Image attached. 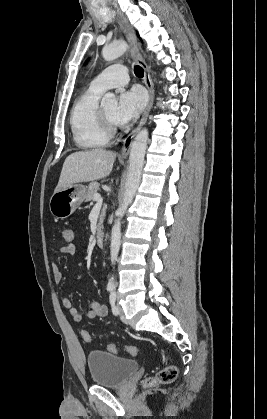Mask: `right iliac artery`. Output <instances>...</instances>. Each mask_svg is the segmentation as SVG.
Listing matches in <instances>:
<instances>
[{
  "label": "right iliac artery",
  "instance_id": "right-iliac-artery-1",
  "mask_svg": "<svg viewBox=\"0 0 267 419\" xmlns=\"http://www.w3.org/2000/svg\"><path fill=\"white\" fill-rule=\"evenodd\" d=\"M108 290H109V291H112V290H113V287H109V288H108Z\"/></svg>",
  "mask_w": 267,
  "mask_h": 419
}]
</instances>
